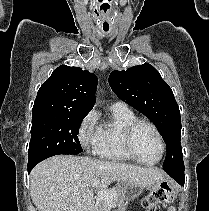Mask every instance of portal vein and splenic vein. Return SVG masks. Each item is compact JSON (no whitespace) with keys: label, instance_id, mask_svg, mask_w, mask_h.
<instances>
[{"label":"portal vein and splenic vein","instance_id":"18ae733b","mask_svg":"<svg viewBox=\"0 0 209 211\" xmlns=\"http://www.w3.org/2000/svg\"><path fill=\"white\" fill-rule=\"evenodd\" d=\"M99 183H100V180H95L92 183V186L96 187L99 185ZM115 195H116V192L107 190V189H103V190L98 191L97 198H101V199L106 200L109 203H112Z\"/></svg>","mask_w":209,"mask_h":211}]
</instances>
